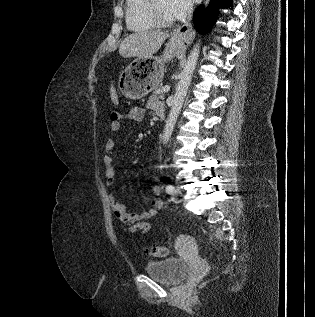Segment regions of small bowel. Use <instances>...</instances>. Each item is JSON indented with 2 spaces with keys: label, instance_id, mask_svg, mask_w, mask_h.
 <instances>
[{
  "label": "small bowel",
  "instance_id": "small-bowel-1",
  "mask_svg": "<svg viewBox=\"0 0 315 317\" xmlns=\"http://www.w3.org/2000/svg\"><path fill=\"white\" fill-rule=\"evenodd\" d=\"M147 108L158 113L160 110H164V106L161 102L156 100H150L147 103ZM145 116V109L142 107H133L126 112L114 110L110 113V129L112 131H118L121 127V122L123 120H129L131 122H141ZM116 147V143L113 139L109 138L106 140L104 145L105 155L103 162L105 165V176L107 180V185H113L116 173L114 167V158L112 152ZM152 192L154 195L158 196L161 193V188L158 185L153 186ZM108 202L112 208L115 217L127 225L130 233H135L141 231L142 235H147L151 229L149 219L153 218L158 210L163 206V201L159 198H154L152 201V207L144 212H128L124 205L119 203L115 196L110 194L108 196Z\"/></svg>",
  "mask_w": 315,
  "mask_h": 317
}]
</instances>
